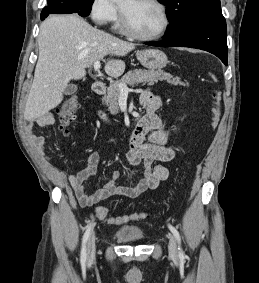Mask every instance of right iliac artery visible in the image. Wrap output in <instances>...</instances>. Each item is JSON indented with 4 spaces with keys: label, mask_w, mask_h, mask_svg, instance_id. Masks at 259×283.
I'll use <instances>...</instances> for the list:
<instances>
[{
    "label": "right iliac artery",
    "mask_w": 259,
    "mask_h": 283,
    "mask_svg": "<svg viewBox=\"0 0 259 283\" xmlns=\"http://www.w3.org/2000/svg\"><path fill=\"white\" fill-rule=\"evenodd\" d=\"M93 227V223H90V225H88L84 235H83V240H82V248H81V256H80V260L82 264H85L86 259H87V248H86V244H87V240L89 238V235L91 233Z\"/></svg>",
    "instance_id": "82829eb1"
}]
</instances>
